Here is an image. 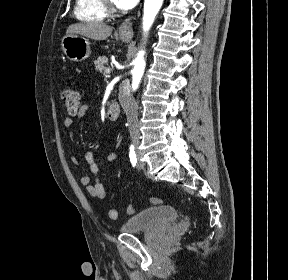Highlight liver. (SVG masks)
I'll use <instances>...</instances> for the list:
<instances>
[{
  "label": "liver",
  "mask_w": 288,
  "mask_h": 280,
  "mask_svg": "<svg viewBox=\"0 0 288 280\" xmlns=\"http://www.w3.org/2000/svg\"><path fill=\"white\" fill-rule=\"evenodd\" d=\"M112 27L104 23H77L68 27L66 34H79L93 40H105L112 33Z\"/></svg>",
  "instance_id": "liver-1"
}]
</instances>
